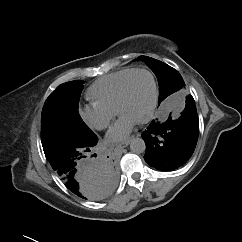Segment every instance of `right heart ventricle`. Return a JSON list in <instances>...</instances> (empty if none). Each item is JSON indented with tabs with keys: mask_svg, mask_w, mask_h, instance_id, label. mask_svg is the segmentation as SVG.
Instances as JSON below:
<instances>
[{
	"mask_svg": "<svg viewBox=\"0 0 242 242\" xmlns=\"http://www.w3.org/2000/svg\"><path fill=\"white\" fill-rule=\"evenodd\" d=\"M135 68H123L96 80L87 90L93 103L116 111L118 93L122 82Z\"/></svg>",
	"mask_w": 242,
	"mask_h": 242,
	"instance_id": "1",
	"label": "right heart ventricle"
}]
</instances>
